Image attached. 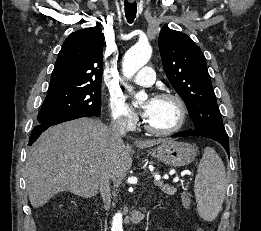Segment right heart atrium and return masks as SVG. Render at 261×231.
<instances>
[{
    "label": "right heart atrium",
    "instance_id": "obj_1",
    "mask_svg": "<svg viewBox=\"0 0 261 231\" xmlns=\"http://www.w3.org/2000/svg\"><path fill=\"white\" fill-rule=\"evenodd\" d=\"M110 117L113 124L123 130L132 129L137 123V115L119 95H112L109 101Z\"/></svg>",
    "mask_w": 261,
    "mask_h": 231
}]
</instances>
